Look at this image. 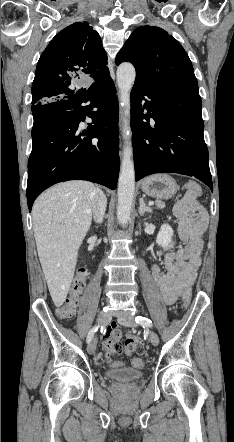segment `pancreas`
<instances>
[{
    "label": "pancreas",
    "instance_id": "cf45deb5",
    "mask_svg": "<svg viewBox=\"0 0 234 442\" xmlns=\"http://www.w3.org/2000/svg\"><path fill=\"white\" fill-rule=\"evenodd\" d=\"M156 206L158 208H164L165 207V203L161 200H156Z\"/></svg>",
    "mask_w": 234,
    "mask_h": 442
}]
</instances>
